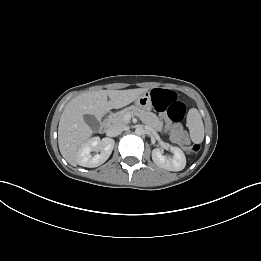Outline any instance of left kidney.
I'll use <instances>...</instances> for the list:
<instances>
[{"label":"left kidney","mask_w":261,"mask_h":261,"mask_svg":"<svg viewBox=\"0 0 261 261\" xmlns=\"http://www.w3.org/2000/svg\"><path fill=\"white\" fill-rule=\"evenodd\" d=\"M170 150L173 153L172 158H167L162 155L160 149L156 148L152 151V160L159 167L169 171H181L186 166V157L183 151L176 146L169 145Z\"/></svg>","instance_id":"obj_1"}]
</instances>
